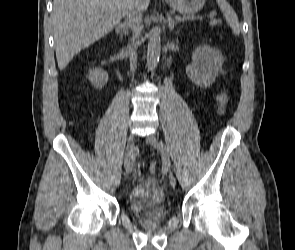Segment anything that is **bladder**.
I'll use <instances>...</instances> for the list:
<instances>
[{
	"label": "bladder",
	"mask_w": 295,
	"mask_h": 250,
	"mask_svg": "<svg viewBox=\"0 0 295 250\" xmlns=\"http://www.w3.org/2000/svg\"><path fill=\"white\" fill-rule=\"evenodd\" d=\"M128 204L132 214L144 220L159 219L166 211V198L156 179L146 178L131 191Z\"/></svg>",
	"instance_id": "1"
}]
</instances>
